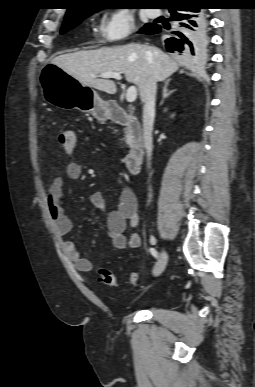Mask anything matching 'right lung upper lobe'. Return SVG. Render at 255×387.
Segmentation results:
<instances>
[{"mask_svg": "<svg viewBox=\"0 0 255 387\" xmlns=\"http://www.w3.org/2000/svg\"><path fill=\"white\" fill-rule=\"evenodd\" d=\"M75 1H76L75 5L73 7L68 8L65 16L80 15L88 11L100 10L99 8H96V6L101 3L95 2L96 0H75ZM167 1L174 2L178 0H167Z\"/></svg>", "mask_w": 255, "mask_h": 387, "instance_id": "obj_1", "label": "right lung upper lobe"}]
</instances>
